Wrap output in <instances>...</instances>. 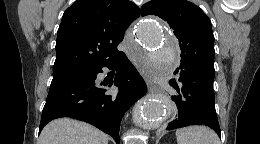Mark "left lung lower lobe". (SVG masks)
<instances>
[{"label":"left lung lower lobe","mask_w":260,"mask_h":144,"mask_svg":"<svg viewBox=\"0 0 260 144\" xmlns=\"http://www.w3.org/2000/svg\"><path fill=\"white\" fill-rule=\"evenodd\" d=\"M180 69L178 84L175 80L170 81L179 95L172 96L175 106L167 130L205 125L221 136L215 111L214 77L188 65H180Z\"/></svg>","instance_id":"1"}]
</instances>
